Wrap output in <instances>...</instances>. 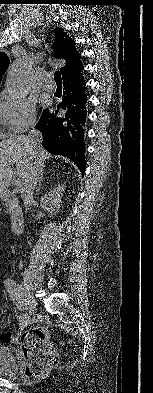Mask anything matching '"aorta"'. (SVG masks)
<instances>
[{
  "label": "aorta",
  "mask_w": 153,
  "mask_h": 393,
  "mask_svg": "<svg viewBox=\"0 0 153 393\" xmlns=\"http://www.w3.org/2000/svg\"><path fill=\"white\" fill-rule=\"evenodd\" d=\"M30 63L27 60L16 61L12 64L7 88L14 96H24L29 92Z\"/></svg>",
  "instance_id": "aorta-1"
}]
</instances>
